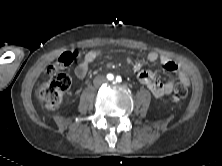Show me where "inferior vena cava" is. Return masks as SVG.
Listing matches in <instances>:
<instances>
[{
  "label": "inferior vena cava",
  "instance_id": "1",
  "mask_svg": "<svg viewBox=\"0 0 222 166\" xmlns=\"http://www.w3.org/2000/svg\"><path fill=\"white\" fill-rule=\"evenodd\" d=\"M106 81H107L106 78H104L103 76H98L94 79V85L99 86L102 83H105Z\"/></svg>",
  "mask_w": 222,
  "mask_h": 166
}]
</instances>
